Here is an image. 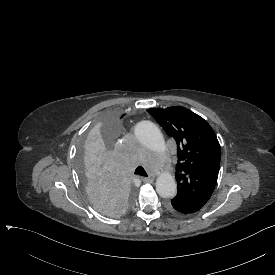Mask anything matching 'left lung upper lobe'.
Listing matches in <instances>:
<instances>
[{
    "label": "left lung upper lobe",
    "mask_w": 275,
    "mask_h": 275,
    "mask_svg": "<svg viewBox=\"0 0 275 275\" xmlns=\"http://www.w3.org/2000/svg\"><path fill=\"white\" fill-rule=\"evenodd\" d=\"M147 111L177 142L178 192L171 203L191 213L199 211L210 198L219 172L221 150L213 129L185 107Z\"/></svg>",
    "instance_id": "5c2ea615"
}]
</instances>
